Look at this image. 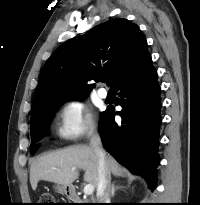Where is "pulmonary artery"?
<instances>
[{"mask_svg": "<svg viewBox=\"0 0 200 205\" xmlns=\"http://www.w3.org/2000/svg\"><path fill=\"white\" fill-rule=\"evenodd\" d=\"M107 95H108V92H107V90L105 88H99L98 89V96L100 98L105 99L107 97Z\"/></svg>", "mask_w": 200, "mask_h": 205, "instance_id": "1", "label": "pulmonary artery"}]
</instances>
